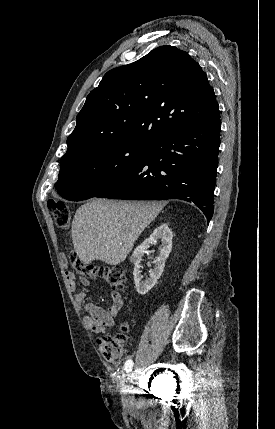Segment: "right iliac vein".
Segmentation results:
<instances>
[{
  "label": "right iliac vein",
  "mask_w": 275,
  "mask_h": 429,
  "mask_svg": "<svg viewBox=\"0 0 275 429\" xmlns=\"http://www.w3.org/2000/svg\"><path fill=\"white\" fill-rule=\"evenodd\" d=\"M132 376H133V372L131 371L130 373H128V375H127V377L125 379V382H124V391H125L124 400L126 402L131 401V397L128 395V390H129V387H130V383L132 381Z\"/></svg>",
  "instance_id": "obj_1"
}]
</instances>
